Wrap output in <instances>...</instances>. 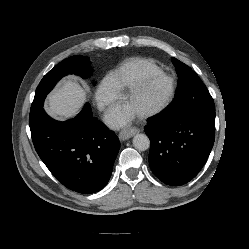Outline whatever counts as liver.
Here are the masks:
<instances>
[{"mask_svg": "<svg viewBox=\"0 0 249 249\" xmlns=\"http://www.w3.org/2000/svg\"><path fill=\"white\" fill-rule=\"evenodd\" d=\"M85 101L84 88L76 80L67 79L48 96L45 110L56 118H71L79 112Z\"/></svg>", "mask_w": 249, "mask_h": 249, "instance_id": "1", "label": "liver"}]
</instances>
